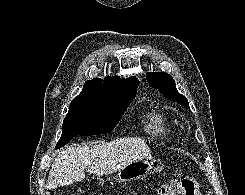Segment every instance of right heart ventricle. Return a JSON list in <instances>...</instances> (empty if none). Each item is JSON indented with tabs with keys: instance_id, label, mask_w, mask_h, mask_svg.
Listing matches in <instances>:
<instances>
[{
	"instance_id": "obj_1",
	"label": "right heart ventricle",
	"mask_w": 245,
	"mask_h": 195,
	"mask_svg": "<svg viewBox=\"0 0 245 195\" xmlns=\"http://www.w3.org/2000/svg\"><path fill=\"white\" fill-rule=\"evenodd\" d=\"M145 132L159 137H165L169 132V123L166 115L157 109L149 111L144 118Z\"/></svg>"
}]
</instances>
